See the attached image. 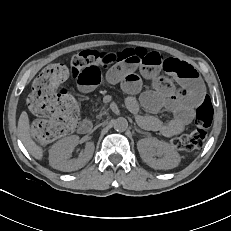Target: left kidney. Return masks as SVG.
Listing matches in <instances>:
<instances>
[{
  "instance_id": "1",
  "label": "left kidney",
  "mask_w": 231,
  "mask_h": 231,
  "mask_svg": "<svg viewBox=\"0 0 231 231\" xmlns=\"http://www.w3.org/2000/svg\"><path fill=\"white\" fill-rule=\"evenodd\" d=\"M137 149L142 160L154 169H172L180 162V156L173 146L153 137L139 140Z\"/></svg>"
}]
</instances>
